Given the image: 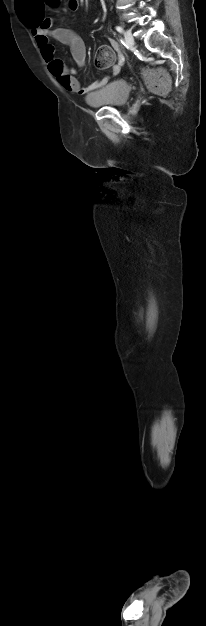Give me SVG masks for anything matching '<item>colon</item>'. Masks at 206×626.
<instances>
[{
	"mask_svg": "<svg viewBox=\"0 0 206 626\" xmlns=\"http://www.w3.org/2000/svg\"><path fill=\"white\" fill-rule=\"evenodd\" d=\"M49 3L55 4L58 0H48ZM26 23L32 25L33 22L27 19ZM115 51L111 46L102 45L95 57V65L99 69L109 68L115 60ZM142 75L149 89L157 94H164L169 90L170 79L167 73L162 69H143Z\"/></svg>",
	"mask_w": 206,
	"mask_h": 626,
	"instance_id": "5ec220e1",
	"label": "colon"
}]
</instances>
